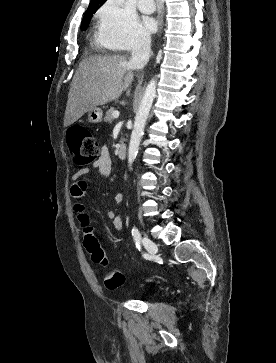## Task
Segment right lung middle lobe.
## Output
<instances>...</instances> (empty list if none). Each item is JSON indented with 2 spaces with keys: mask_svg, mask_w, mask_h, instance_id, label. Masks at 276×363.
Instances as JSON below:
<instances>
[{
  "mask_svg": "<svg viewBox=\"0 0 276 363\" xmlns=\"http://www.w3.org/2000/svg\"><path fill=\"white\" fill-rule=\"evenodd\" d=\"M99 6L98 5H92L89 6L88 9L86 10L82 23H81V29L82 30H86V28L88 27V24L90 23V20L93 16V14L98 10Z\"/></svg>",
  "mask_w": 276,
  "mask_h": 363,
  "instance_id": "right-lung-middle-lobe-1",
  "label": "right lung middle lobe"
}]
</instances>
